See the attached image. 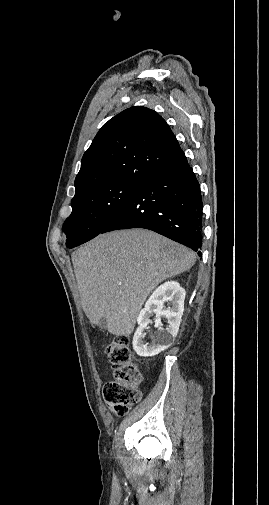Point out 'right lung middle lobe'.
Listing matches in <instances>:
<instances>
[{"label": "right lung middle lobe", "mask_w": 269, "mask_h": 505, "mask_svg": "<svg viewBox=\"0 0 269 505\" xmlns=\"http://www.w3.org/2000/svg\"><path fill=\"white\" fill-rule=\"evenodd\" d=\"M141 184L111 182L87 188L71 202L72 213L63 225L66 246L76 247L96 237L115 218Z\"/></svg>", "instance_id": "right-lung-middle-lobe-1"}]
</instances>
